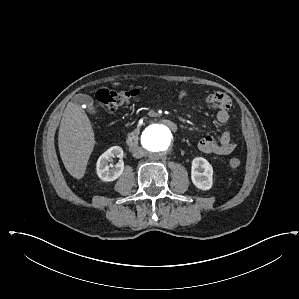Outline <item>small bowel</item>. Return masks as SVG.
<instances>
[{"instance_id": "obj_1", "label": "small bowel", "mask_w": 299, "mask_h": 299, "mask_svg": "<svg viewBox=\"0 0 299 299\" xmlns=\"http://www.w3.org/2000/svg\"><path fill=\"white\" fill-rule=\"evenodd\" d=\"M185 95L184 90L180 91L179 99L182 100ZM203 104L216 112V119L219 123H228L231 100L226 94L220 92L210 94L204 98ZM198 149L206 154L229 155L236 149V143L232 141L230 131L225 130L218 139L211 136L201 139Z\"/></svg>"}]
</instances>
